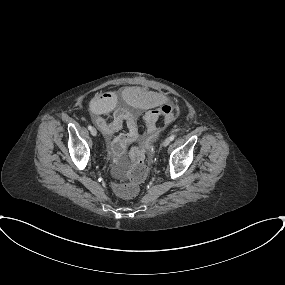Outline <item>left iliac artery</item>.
Segmentation results:
<instances>
[{"mask_svg":"<svg viewBox=\"0 0 285 285\" xmlns=\"http://www.w3.org/2000/svg\"><path fill=\"white\" fill-rule=\"evenodd\" d=\"M175 137H176V136H175L174 134L171 135V136H170V140L173 141V140L175 139Z\"/></svg>","mask_w":285,"mask_h":285,"instance_id":"obj_1","label":"left iliac artery"}]
</instances>
